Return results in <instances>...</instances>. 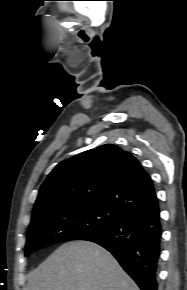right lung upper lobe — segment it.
Listing matches in <instances>:
<instances>
[{"instance_id": "1", "label": "right lung upper lobe", "mask_w": 187, "mask_h": 290, "mask_svg": "<svg viewBox=\"0 0 187 290\" xmlns=\"http://www.w3.org/2000/svg\"><path fill=\"white\" fill-rule=\"evenodd\" d=\"M109 206L123 216L158 209L152 179L138 160L106 144L59 163L42 184L32 222L60 211Z\"/></svg>"}]
</instances>
